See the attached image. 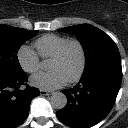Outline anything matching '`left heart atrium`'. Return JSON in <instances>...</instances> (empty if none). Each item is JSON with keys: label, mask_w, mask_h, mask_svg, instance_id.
<instances>
[{"label": "left heart atrium", "mask_w": 128, "mask_h": 128, "mask_svg": "<svg viewBox=\"0 0 128 128\" xmlns=\"http://www.w3.org/2000/svg\"><path fill=\"white\" fill-rule=\"evenodd\" d=\"M67 79L59 71L42 72L31 77L30 83L43 90H53L62 87Z\"/></svg>", "instance_id": "39dd6f15"}]
</instances>
